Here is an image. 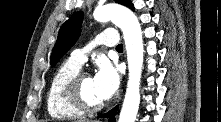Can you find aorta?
<instances>
[{"label":"aorta","mask_w":221,"mask_h":122,"mask_svg":"<svg viewBox=\"0 0 221 122\" xmlns=\"http://www.w3.org/2000/svg\"><path fill=\"white\" fill-rule=\"evenodd\" d=\"M93 16L100 22L112 21L123 32L129 78L118 122H135L140 103V79L144 55L140 24L130 9L114 3L98 6Z\"/></svg>","instance_id":"762f6f07"}]
</instances>
